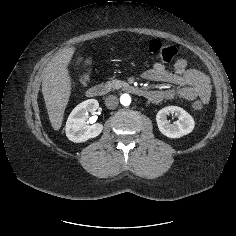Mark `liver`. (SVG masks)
<instances>
[{
  "mask_svg": "<svg viewBox=\"0 0 236 236\" xmlns=\"http://www.w3.org/2000/svg\"><path fill=\"white\" fill-rule=\"evenodd\" d=\"M75 50L76 48L70 47L58 52L44 69L42 93L50 123L56 131L61 128L71 95L72 83L68 65Z\"/></svg>",
  "mask_w": 236,
  "mask_h": 236,
  "instance_id": "liver-1",
  "label": "liver"
}]
</instances>
